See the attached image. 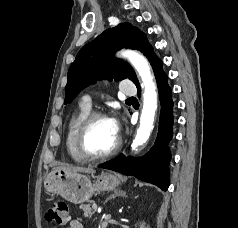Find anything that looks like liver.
<instances>
[{"label": "liver", "instance_id": "liver-1", "mask_svg": "<svg viewBox=\"0 0 238 228\" xmlns=\"http://www.w3.org/2000/svg\"><path fill=\"white\" fill-rule=\"evenodd\" d=\"M58 170H63L66 172H72V173H94V169L91 167L85 168V167H76V166H63V167H57Z\"/></svg>", "mask_w": 238, "mask_h": 228}]
</instances>
